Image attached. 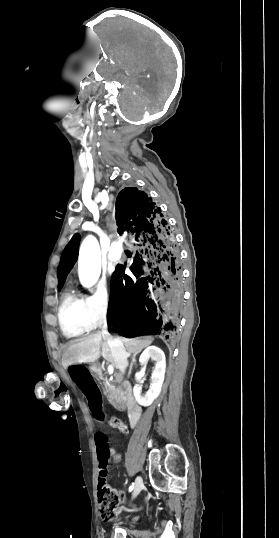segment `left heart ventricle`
<instances>
[{"mask_svg":"<svg viewBox=\"0 0 279 538\" xmlns=\"http://www.w3.org/2000/svg\"><path fill=\"white\" fill-rule=\"evenodd\" d=\"M84 207H69L70 210H81L83 209ZM77 222L76 219H70V223L71 225L73 226L75 223Z\"/></svg>","mask_w":279,"mask_h":538,"instance_id":"1","label":"left heart ventricle"}]
</instances>
